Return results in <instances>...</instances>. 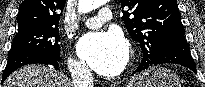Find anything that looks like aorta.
<instances>
[{
    "mask_svg": "<svg viewBox=\"0 0 205 87\" xmlns=\"http://www.w3.org/2000/svg\"><path fill=\"white\" fill-rule=\"evenodd\" d=\"M106 0H79L78 12L85 14L104 5Z\"/></svg>",
    "mask_w": 205,
    "mask_h": 87,
    "instance_id": "aorta-1",
    "label": "aorta"
}]
</instances>
